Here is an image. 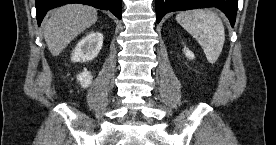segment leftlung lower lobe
Wrapping results in <instances>:
<instances>
[{"instance_id":"0a47b994","label":"left lung lower lobe","mask_w":276,"mask_h":145,"mask_svg":"<svg viewBox=\"0 0 276 145\" xmlns=\"http://www.w3.org/2000/svg\"><path fill=\"white\" fill-rule=\"evenodd\" d=\"M237 4L238 0H155L157 23L166 13L172 11L216 7L225 13L233 27L236 20Z\"/></svg>"}]
</instances>
